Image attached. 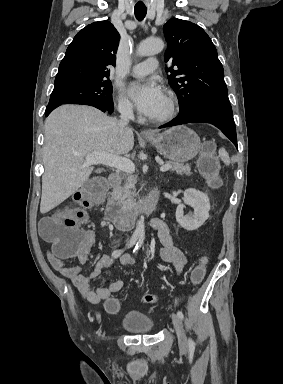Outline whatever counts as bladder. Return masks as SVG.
<instances>
[{
  "instance_id": "bladder-1",
  "label": "bladder",
  "mask_w": 283,
  "mask_h": 384,
  "mask_svg": "<svg viewBox=\"0 0 283 384\" xmlns=\"http://www.w3.org/2000/svg\"><path fill=\"white\" fill-rule=\"evenodd\" d=\"M120 327L125 328L130 335H150L154 332L156 323L142 310L129 309L125 311Z\"/></svg>"
}]
</instances>
